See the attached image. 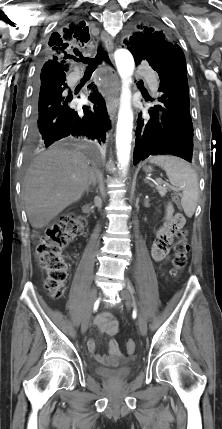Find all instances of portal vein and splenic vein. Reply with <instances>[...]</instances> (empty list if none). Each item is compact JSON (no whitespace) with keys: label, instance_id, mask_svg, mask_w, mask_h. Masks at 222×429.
Here are the masks:
<instances>
[{"label":"portal vein and splenic vein","instance_id":"1","mask_svg":"<svg viewBox=\"0 0 222 429\" xmlns=\"http://www.w3.org/2000/svg\"><path fill=\"white\" fill-rule=\"evenodd\" d=\"M155 184H162L163 181L161 179H156L155 181H153Z\"/></svg>","mask_w":222,"mask_h":429}]
</instances>
